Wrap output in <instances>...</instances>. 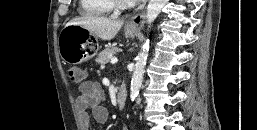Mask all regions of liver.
I'll use <instances>...</instances> for the list:
<instances>
[{
    "mask_svg": "<svg viewBox=\"0 0 257 130\" xmlns=\"http://www.w3.org/2000/svg\"><path fill=\"white\" fill-rule=\"evenodd\" d=\"M122 20H113L106 17L83 16L72 19L67 25H80L102 40H111L123 25Z\"/></svg>",
    "mask_w": 257,
    "mask_h": 130,
    "instance_id": "liver-1",
    "label": "liver"
}]
</instances>
